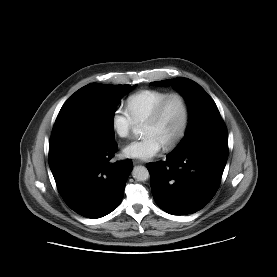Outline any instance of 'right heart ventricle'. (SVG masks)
I'll list each match as a JSON object with an SVG mask.
<instances>
[{"mask_svg":"<svg viewBox=\"0 0 277 277\" xmlns=\"http://www.w3.org/2000/svg\"><path fill=\"white\" fill-rule=\"evenodd\" d=\"M169 94L161 90H142L127 99L126 107L135 123H144L153 113L160 101Z\"/></svg>","mask_w":277,"mask_h":277,"instance_id":"obj_1","label":"right heart ventricle"}]
</instances>
